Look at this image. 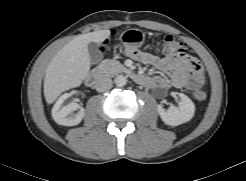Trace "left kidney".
Returning a JSON list of instances; mask_svg holds the SVG:
<instances>
[{"label":"left kidney","mask_w":246,"mask_h":181,"mask_svg":"<svg viewBox=\"0 0 246 181\" xmlns=\"http://www.w3.org/2000/svg\"><path fill=\"white\" fill-rule=\"evenodd\" d=\"M178 95L181 99L178 107L172 105L166 110L162 105L157 106L160 118L165 124L170 126H178L190 121L195 113V105L192 100L183 93Z\"/></svg>","instance_id":"1"}]
</instances>
